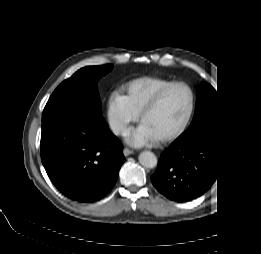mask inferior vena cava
Here are the masks:
<instances>
[{"label":"inferior vena cava","mask_w":261,"mask_h":254,"mask_svg":"<svg viewBox=\"0 0 261 254\" xmlns=\"http://www.w3.org/2000/svg\"><path fill=\"white\" fill-rule=\"evenodd\" d=\"M111 130L114 134L120 135L126 131V124L117 119H110Z\"/></svg>","instance_id":"inferior-vena-cava-1"}]
</instances>
